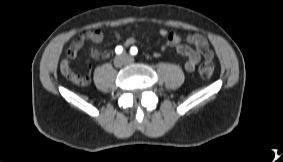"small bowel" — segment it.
I'll return each mask as SVG.
<instances>
[{
  "instance_id": "obj_1",
  "label": "small bowel",
  "mask_w": 283,
  "mask_h": 162,
  "mask_svg": "<svg viewBox=\"0 0 283 162\" xmlns=\"http://www.w3.org/2000/svg\"><path fill=\"white\" fill-rule=\"evenodd\" d=\"M159 34L166 39V42L161 47V51H164L169 47L175 48L180 55L186 58L183 65L186 71H194L202 57L212 58L213 56L207 40L200 34L181 36L176 32H170L164 28L159 30ZM103 37V32L99 29L82 32L68 47L67 58L61 61L60 70L71 71L69 60L74 59L77 56L83 44L86 41L100 43L103 40ZM135 42L136 39L131 37L125 41V46H131ZM89 54L93 59L103 60L107 59L111 55V52L109 50L92 49ZM160 54V51L154 52L155 57H159Z\"/></svg>"
}]
</instances>
